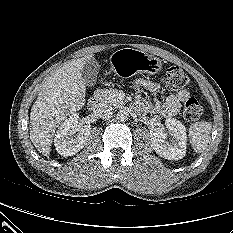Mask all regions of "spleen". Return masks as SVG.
Instances as JSON below:
<instances>
[{
	"instance_id": "1",
	"label": "spleen",
	"mask_w": 233,
	"mask_h": 233,
	"mask_svg": "<svg viewBox=\"0 0 233 233\" xmlns=\"http://www.w3.org/2000/svg\"><path fill=\"white\" fill-rule=\"evenodd\" d=\"M212 123L200 121L192 123L189 127L190 144L196 153L204 151L210 140Z\"/></svg>"
}]
</instances>
